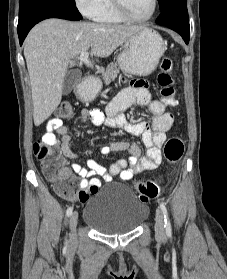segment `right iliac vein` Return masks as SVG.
Here are the masks:
<instances>
[{
  "label": "right iliac vein",
  "instance_id": "1",
  "mask_svg": "<svg viewBox=\"0 0 227 279\" xmlns=\"http://www.w3.org/2000/svg\"><path fill=\"white\" fill-rule=\"evenodd\" d=\"M78 222V213L77 211H74L71 216H70V229H71V236H72V241L75 240V232H76V226Z\"/></svg>",
  "mask_w": 227,
  "mask_h": 279
}]
</instances>
